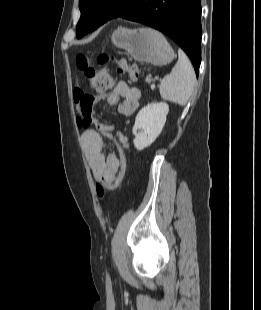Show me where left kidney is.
I'll list each match as a JSON object with an SVG mask.
<instances>
[{
  "label": "left kidney",
  "instance_id": "1",
  "mask_svg": "<svg viewBox=\"0 0 261 310\" xmlns=\"http://www.w3.org/2000/svg\"><path fill=\"white\" fill-rule=\"evenodd\" d=\"M169 112L165 102L151 103L143 107L136 116L132 132L137 150L149 147L160 135Z\"/></svg>",
  "mask_w": 261,
  "mask_h": 310
}]
</instances>
